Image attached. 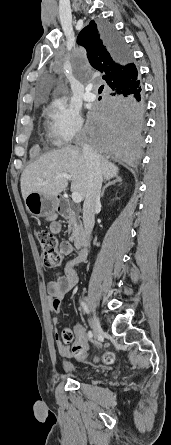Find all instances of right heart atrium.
Here are the masks:
<instances>
[{"instance_id": "1", "label": "right heart atrium", "mask_w": 171, "mask_h": 445, "mask_svg": "<svg viewBox=\"0 0 171 445\" xmlns=\"http://www.w3.org/2000/svg\"><path fill=\"white\" fill-rule=\"evenodd\" d=\"M51 132L60 144L71 143L83 130V120L79 111L66 103H57L51 108Z\"/></svg>"}]
</instances>
